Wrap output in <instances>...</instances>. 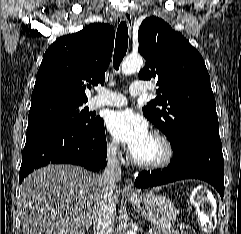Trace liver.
<instances>
[{
	"mask_svg": "<svg viewBox=\"0 0 241 234\" xmlns=\"http://www.w3.org/2000/svg\"><path fill=\"white\" fill-rule=\"evenodd\" d=\"M121 190L114 191L119 203ZM23 234H85L103 200L100 176L74 165H48L21 184Z\"/></svg>",
	"mask_w": 241,
	"mask_h": 234,
	"instance_id": "6515ba94",
	"label": "liver"
}]
</instances>
